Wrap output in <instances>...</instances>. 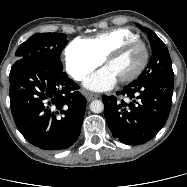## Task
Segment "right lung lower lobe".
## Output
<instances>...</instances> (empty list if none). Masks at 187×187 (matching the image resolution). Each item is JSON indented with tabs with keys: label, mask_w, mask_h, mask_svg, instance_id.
<instances>
[{
	"label": "right lung lower lobe",
	"mask_w": 187,
	"mask_h": 187,
	"mask_svg": "<svg viewBox=\"0 0 187 187\" xmlns=\"http://www.w3.org/2000/svg\"><path fill=\"white\" fill-rule=\"evenodd\" d=\"M9 81L12 116L27 141L44 150H62L76 142L87 100L62 67L18 59Z\"/></svg>",
	"instance_id": "98d812e1"
}]
</instances>
